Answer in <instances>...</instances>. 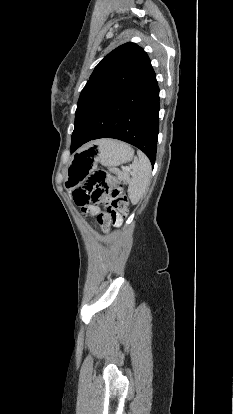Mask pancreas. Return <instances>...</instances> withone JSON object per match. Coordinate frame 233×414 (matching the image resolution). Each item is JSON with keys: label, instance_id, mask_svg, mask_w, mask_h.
Segmentation results:
<instances>
[{"label": "pancreas", "instance_id": "1", "mask_svg": "<svg viewBox=\"0 0 233 414\" xmlns=\"http://www.w3.org/2000/svg\"><path fill=\"white\" fill-rule=\"evenodd\" d=\"M116 174L120 179H124L127 182L129 181V173L127 171H123V172L117 171Z\"/></svg>", "mask_w": 233, "mask_h": 414}]
</instances>
